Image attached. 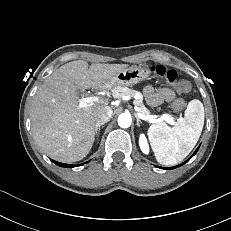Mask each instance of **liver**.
<instances>
[{
	"instance_id": "6515ba94",
	"label": "liver",
	"mask_w": 231,
	"mask_h": 231,
	"mask_svg": "<svg viewBox=\"0 0 231 231\" xmlns=\"http://www.w3.org/2000/svg\"><path fill=\"white\" fill-rule=\"evenodd\" d=\"M127 64H92L72 61L55 70L42 84L31 104L32 135L49 157L76 162L90 152L96 133V111L108 104L101 99L81 107L78 90L110 89L109 80Z\"/></svg>"
}]
</instances>
